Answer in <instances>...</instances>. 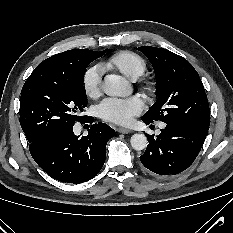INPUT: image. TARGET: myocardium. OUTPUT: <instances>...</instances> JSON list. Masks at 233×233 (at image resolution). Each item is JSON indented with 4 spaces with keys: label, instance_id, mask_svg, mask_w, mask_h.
Listing matches in <instances>:
<instances>
[{
    "label": "myocardium",
    "instance_id": "obj_1",
    "mask_svg": "<svg viewBox=\"0 0 233 233\" xmlns=\"http://www.w3.org/2000/svg\"><path fill=\"white\" fill-rule=\"evenodd\" d=\"M143 88L147 92H151L152 91V85L149 84V83H146Z\"/></svg>",
    "mask_w": 233,
    "mask_h": 233
}]
</instances>
